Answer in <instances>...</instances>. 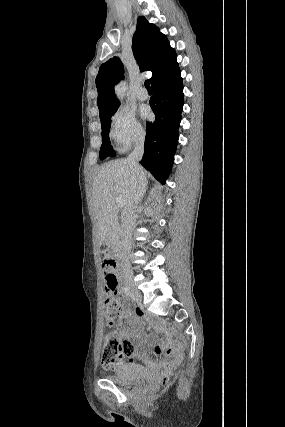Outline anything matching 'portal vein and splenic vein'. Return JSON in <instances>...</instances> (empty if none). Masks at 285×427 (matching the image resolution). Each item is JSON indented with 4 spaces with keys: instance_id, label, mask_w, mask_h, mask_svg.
Here are the masks:
<instances>
[{
    "instance_id": "1",
    "label": "portal vein and splenic vein",
    "mask_w": 285,
    "mask_h": 427,
    "mask_svg": "<svg viewBox=\"0 0 285 427\" xmlns=\"http://www.w3.org/2000/svg\"><path fill=\"white\" fill-rule=\"evenodd\" d=\"M116 204H117L118 207H123L124 206V200H123V198L121 196H118L116 198Z\"/></svg>"
}]
</instances>
